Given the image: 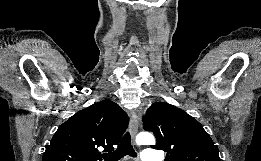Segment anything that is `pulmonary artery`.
<instances>
[{
    "label": "pulmonary artery",
    "instance_id": "obj_1",
    "mask_svg": "<svg viewBox=\"0 0 261 161\" xmlns=\"http://www.w3.org/2000/svg\"><path fill=\"white\" fill-rule=\"evenodd\" d=\"M141 160L142 161H156V158L150 155L149 150L145 149L141 153Z\"/></svg>",
    "mask_w": 261,
    "mask_h": 161
}]
</instances>
